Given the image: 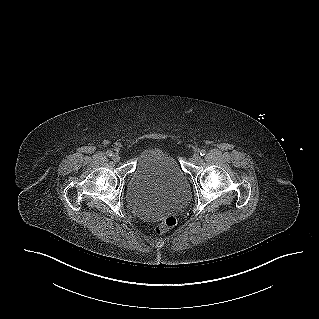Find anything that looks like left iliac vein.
<instances>
[{
    "label": "left iliac vein",
    "instance_id": "obj_1",
    "mask_svg": "<svg viewBox=\"0 0 319 319\" xmlns=\"http://www.w3.org/2000/svg\"><path fill=\"white\" fill-rule=\"evenodd\" d=\"M201 160V156L199 154H194L192 157L193 162H199Z\"/></svg>",
    "mask_w": 319,
    "mask_h": 319
}]
</instances>
